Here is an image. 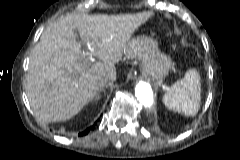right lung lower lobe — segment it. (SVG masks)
<instances>
[{"label": "right lung lower lobe", "mask_w": 240, "mask_h": 160, "mask_svg": "<svg viewBox=\"0 0 240 160\" xmlns=\"http://www.w3.org/2000/svg\"><path fill=\"white\" fill-rule=\"evenodd\" d=\"M93 127H94V126L89 127V128L86 129L85 131L81 132L79 135L82 136V135L88 134V132H89Z\"/></svg>", "instance_id": "obj_1"}]
</instances>
